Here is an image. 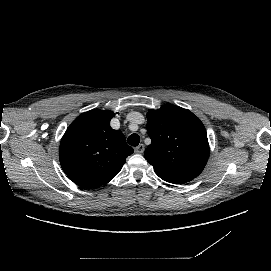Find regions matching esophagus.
Masks as SVG:
<instances>
[{"label":"esophagus","mask_w":271,"mask_h":271,"mask_svg":"<svg viewBox=\"0 0 271 271\" xmlns=\"http://www.w3.org/2000/svg\"><path fill=\"white\" fill-rule=\"evenodd\" d=\"M145 150L144 144H139L137 147H135L134 152L137 154H142Z\"/></svg>","instance_id":"esophagus-1"}]
</instances>
